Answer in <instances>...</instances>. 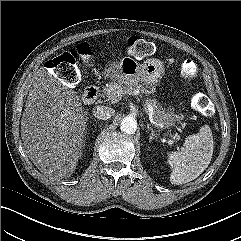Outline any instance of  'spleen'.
I'll use <instances>...</instances> for the list:
<instances>
[{"instance_id": "obj_1", "label": "spleen", "mask_w": 241, "mask_h": 241, "mask_svg": "<svg viewBox=\"0 0 241 241\" xmlns=\"http://www.w3.org/2000/svg\"><path fill=\"white\" fill-rule=\"evenodd\" d=\"M181 152L168 154L172 184H184L196 179L210 164L213 155V138L210 127L203 126L196 134L186 138Z\"/></svg>"}]
</instances>
